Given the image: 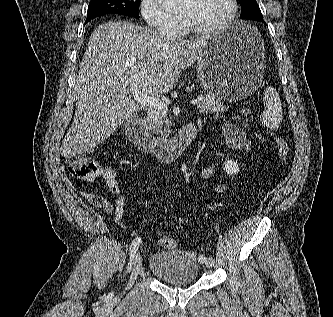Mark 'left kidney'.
Wrapping results in <instances>:
<instances>
[{
  "mask_svg": "<svg viewBox=\"0 0 333 317\" xmlns=\"http://www.w3.org/2000/svg\"><path fill=\"white\" fill-rule=\"evenodd\" d=\"M224 171L227 172V174L234 176L239 172V164L233 160H228L224 164Z\"/></svg>",
  "mask_w": 333,
  "mask_h": 317,
  "instance_id": "left-kidney-1",
  "label": "left kidney"
}]
</instances>
